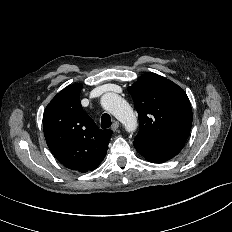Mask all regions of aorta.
<instances>
[{
	"label": "aorta",
	"mask_w": 232,
	"mask_h": 232,
	"mask_svg": "<svg viewBox=\"0 0 232 232\" xmlns=\"http://www.w3.org/2000/svg\"><path fill=\"white\" fill-rule=\"evenodd\" d=\"M101 105L124 125L127 132L133 133L136 130L137 118L134 111L121 96L112 92L105 93L101 97Z\"/></svg>",
	"instance_id": "obj_1"
}]
</instances>
